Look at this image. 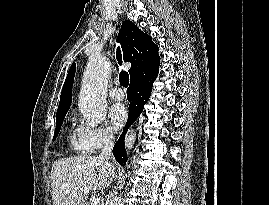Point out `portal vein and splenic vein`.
<instances>
[{
	"mask_svg": "<svg viewBox=\"0 0 269 205\" xmlns=\"http://www.w3.org/2000/svg\"><path fill=\"white\" fill-rule=\"evenodd\" d=\"M103 198L101 196H97L93 198V205H103Z\"/></svg>",
	"mask_w": 269,
	"mask_h": 205,
	"instance_id": "18ae733b",
	"label": "portal vein and splenic vein"
}]
</instances>
